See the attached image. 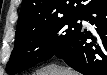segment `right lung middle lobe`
Wrapping results in <instances>:
<instances>
[{"instance_id": "1", "label": "right lung middle lobe", "mask_w": 107, "mask_h": 75, "mask_svg": "<svg viewBox=\"0 0 107 75\" xmlns=\"http://www.w3.org/2000/svg\"><path fill=\"white\" fill-rule=\"evenodd\" d=\"M80 19V14H73L32 30L17 27L7 72H22L56 55L80 32L82 25L77 23Z\"/></svg>"}]
</instances>
